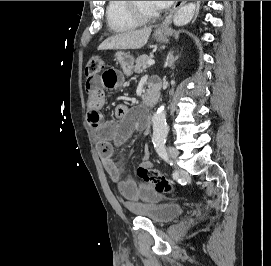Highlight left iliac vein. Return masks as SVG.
<instances>
[{
    "label": "left iliac vein",
    "instance_id": "obj_1",
    "mask_svg": "<svg viewBox=\"0 0 271 266\" xmlns=\"http://www.w3.org/2000/svg\"><path fill=\"white\" fill-rule=\"evenodd\" d=\"M168 152H169V158L171 162L174 163L179 156V151L173 147H170Z\"/></svg>",
    "mask_w": 271,
    "mask_h": 266
}]
</instances>
